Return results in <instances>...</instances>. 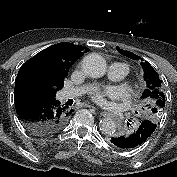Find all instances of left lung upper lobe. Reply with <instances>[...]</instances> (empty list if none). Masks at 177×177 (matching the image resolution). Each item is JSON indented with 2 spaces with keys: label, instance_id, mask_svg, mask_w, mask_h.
<instances>
[{
  "label": "left lung upper lobe",
  "instance_id": "obj_1",
  "mask_svg": "<svg viewBox=\"0 0 177 177\" xmlns=\"http://www.w3.org/2000/svg\"><path fill=\"white\" fill-rule=\"evenodd\" d=\"M120 53L131 57L128 51L120 50ZM144 71L145 90L141 98L146 103L144 119L157 123L165 106V95L163 93L162 80L159 79L158 73L145 61L141 63Z\"/></svg>",
  "mask_w": 177,
  "mask_h": 177
}]
</instances>
